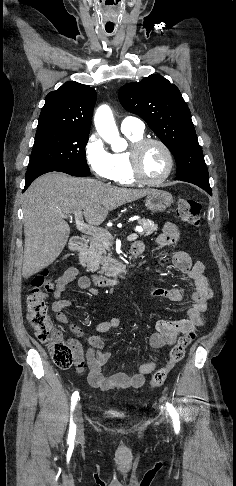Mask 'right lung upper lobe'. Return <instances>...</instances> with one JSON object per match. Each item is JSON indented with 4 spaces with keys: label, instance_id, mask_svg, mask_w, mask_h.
Segmentation results:
<instances>
[{
    "label": "right lung upper lobe",
    "instance_id": "right-lung-upper-lobe-1",
    "mask_svg": "<svg viewBox=\"0 0 236 486\" xmlns=\"http://www.w3.org/2000/svg\"><path fill=\"white\" fill-rule=\"evenodd\" d=\"M96 92L78 83L66 82L47 94L37 129H64L89 132Z\"/></svg>",
    "mask_w": 236,
    "mask_h": 486
}]
</instances>
